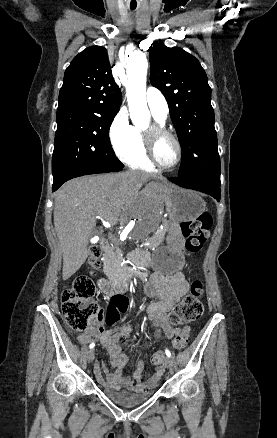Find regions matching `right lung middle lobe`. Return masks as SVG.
Returning a JSON list of instances; mask_svg holds the SVG:
<instances>
[{
	"mask_svg": "<svg viewBox=\"0 0 277 438\" xmlns=\"http://www.w3.org/2000/svg\"><path fill=\"white\" fill-rule=\"evenodd\" d=\"M114 117L65 115L57 117L52 157L53 181L96 167H122L110 144Z\"/></svg>",
	"mask_w": 277,
	"mask_h": 438,
	"instance_id": "1",
	"label": "right lung middle lobe"
}]
</instances>
